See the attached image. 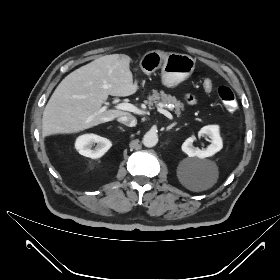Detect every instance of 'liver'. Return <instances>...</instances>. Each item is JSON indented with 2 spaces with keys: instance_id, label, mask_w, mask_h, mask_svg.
I'll list each match as a JSON object with an SVG mask.
<instances>
[{
  "instance_id": "obj_1",
  "label": "liver",
  "mask_w": 280,
  "mask_h": 280,
  "mask_svg": "<svg viewBox=\"0 0 280 280\" xmlns=\"http://www.w3.org/2000/svg\"><path fill=\"white\" fill-rule=\"evenodd\" d=\"M125 54L102 56L67 75L50 97L42 117V135L76 133L129 112L101 111L108 96H129L138 90Z\"/></svg>"
}]
</instances>
